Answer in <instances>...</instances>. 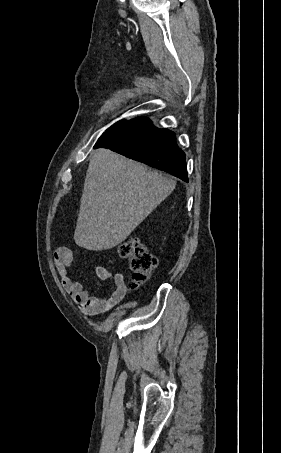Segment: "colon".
<instances>
[{
	"label": "colon",
	"mask_w": 281,
	"mask_h": 453,
	"mask_svg": "<svg viewBox=\"0 0 281 453\" xmlns=\"http://www.w3.org/2000/svg\"><path fill=\"white\" fill-rule=\"evenodd\" d=\"M114 250L120 258L127 261L133 284L146 282L158 265L157 257L148 251L139 239H126L117 243Z\"/></svg>",
	"instance_id": "obj_1"
}]
</instances>
